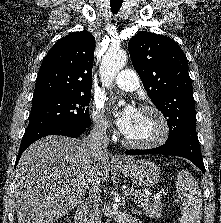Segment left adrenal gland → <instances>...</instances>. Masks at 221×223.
I'll list each match as a JSON object with an SVG mask.
<instances>
[{
  "mask_svg": "<svg viewBox=\"0 0 221 223\" xmlns=\"http://www.w3.org/2000/svg\"><path fill=\"white\" fill-rule=\"evenodd\" d=\"M132 213H133V214H140V211H139V210H136V209H134V208H132Z\"/></svg>",
  "mask_w": 221,
  "mask_h": 223,
  "instance_id": "obj_1",
  "label": "left adrenal gland"
}]
</instances>
